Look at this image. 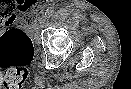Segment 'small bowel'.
Listing matches in <instances>:
<instances>
[{"label": "small bowel", "mask_w": 131, "mask_h": 89, "mask_svg": "<svg viewBox=\"0 0 131 89\" xmlns=\"http://www.w3.org/2000/svg\"><path fill=\"white\" fill-rule=\"evenodd\" d=\"M19 6V8H24V6H25V4H20V5H18ZM11 21V19L9 18V19H6V20H2V21H0V29H1V25H2V23H9Z\"/></svg>", "instance_id": "obj_1"}]
</instances>
